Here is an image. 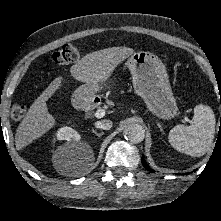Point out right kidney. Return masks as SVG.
Masks as SVG:
<instances>
[{
  "label": "right kidney",
  "mask_w": 221,
  "mask_h": 221,
  "mask_svg": "<svg viewBox=\"0 0 221 221\" xmlns=\"http://www.w3.org/2000/svg\"><path fill=\"white\" fill-rule=\"evenodd\" d=\"M56 137L58 140H66V141H79L81 139L80 134L71 127H62L57 133Z\"/></svg>",
  "instance_id": "obj_1"
}]
</instances>
